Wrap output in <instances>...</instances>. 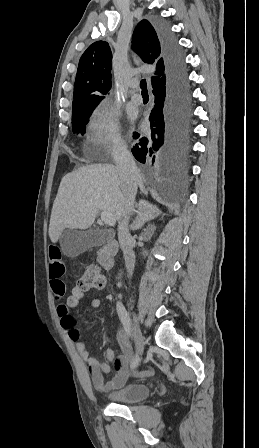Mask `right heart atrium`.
I'll return each instance as SVG.
<instances>
[{"instance_id":"obj_1","label":"right heart atrium","mask_w":259,"mask_h":448,"mask_svg":"<svg viewBox=\"0 0 259 448\" xmlns=\"http://www.w3.org/2000/svg\"><path fill=\"white\" fill-rule=\"evenodd\" d=\"M85 143L97 152H117L122 147L117 116L107 105L100 104L94 109L87 126Z\"/></svg>"}]
</instances>
